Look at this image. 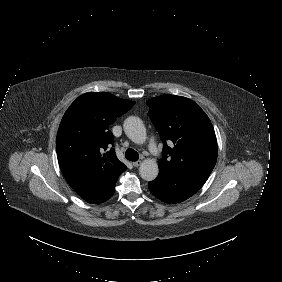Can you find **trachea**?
<instances>
[{
	"instance_id": "trachea-1",
	"label": "trachea",
	"mask_w": 282,
	"mask_h": 282,
	"mask_svg": "<svg viewBox=\"0 0 282 282\" xmlns=\"http://www.w3.org/2000/svg\"><path fill=\"white\" fill-rule=\"evenodd\" d=\"M125 157L127 160L129 161H132V162H135V161H138L139 159V154L137 151H135L134 149L132 148H128L125 152Z\"/></svg>"
}]
</instances>
